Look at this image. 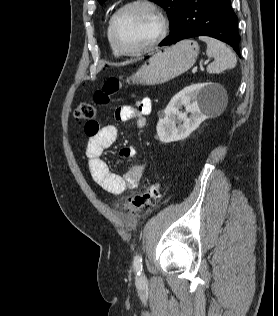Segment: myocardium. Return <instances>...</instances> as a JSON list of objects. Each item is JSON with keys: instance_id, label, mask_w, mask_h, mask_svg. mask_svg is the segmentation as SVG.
I'll list each match as a JSON object with an SVG mask.
<instances>
[{"instance_id": "obj_1", "label": "myocardium", "mask_w": 278, "mask_h": 316, "mask_svg": "<svg viewBox=\"0 0 278 316\" xmlns=\"http://www.w3.org/2000/svg\"><path fill=\"white\" fill-rule=\"evenodd\" d=\"M136 6L146 7L155 15L158 21V32L156 36L153 38V40L150 41L148 44L135 50H127L123 48L118 42L117 35H116V24H117L118 18L120 17L122 13ZM168 28H169V23L165 14L163 13L162 9L152 0L129 1L125 3L124 5H122L120 8H118L117 11L112 15L110 19V37H111L112 44L120 54L126 55V56H138L150 51L165 38L168 32Z\"/></svg>"}]
</instances>
